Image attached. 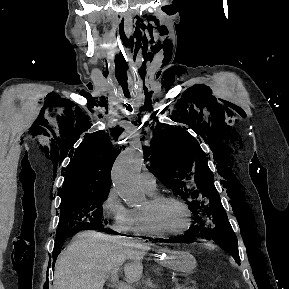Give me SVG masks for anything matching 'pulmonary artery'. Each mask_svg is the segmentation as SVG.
<instances>
[{
	"mask_svg": "<svg viewBox=\"0 0 289 289\" xmlns=\"http://www.w3.org/2000/svg\"><path fill=\"white\" fill-rule=\"evenodd\" d=\"M139 182L142 188L148 194H155L157 190V183L155 176L148 170H144L139 177Z\"/></svg>",
	"mask_w": 289,
	"mask_h": 289,
	"instance_id": "e3ab8cb5",
	"label": "pulmonary artery"
}]
</instances>
